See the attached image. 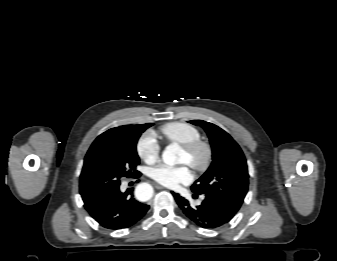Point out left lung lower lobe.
Returning <instances> with one entry per match:
<instances>
[{
  "instance_id": "1",
  "label": "left lung lower lobe",
  "mask_w": 337,
  "mask_h": 261,
  "mask_svg": "<svg viewBox=\"0 0 337 261\" xmlns=\"http://www.w3.org/2000/svg\"><path fill=\"white\" fill-rule=\"evenodd\" d=\"M182 212L192 222L205 229H215L227 224L236 213L221 202L206 197L202 204L192 208L189 202L179 194L172 192Z\"/></svg>"
}]
</instances>
